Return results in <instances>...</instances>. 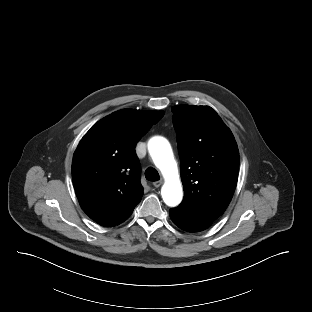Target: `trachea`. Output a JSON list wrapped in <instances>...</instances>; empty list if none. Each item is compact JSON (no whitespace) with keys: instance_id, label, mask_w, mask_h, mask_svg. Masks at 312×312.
Segmentation results:
<instances>
[{"instance_id":"3493384b","label":"trachea","mask_w":312,"mask_h":312,"mask_svg":"<svg viewBox=\"0 0 312 312\" xmlns=\"http://www.w3.org/2000/svg\"><path fill=\"white\" fill-rule=\"evenodd\" d=\"M145 177L149 181H158L160 179L159 173L152 167L146 169Z\"/></svg>"}]
</instances>
